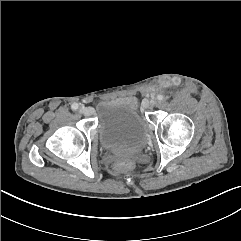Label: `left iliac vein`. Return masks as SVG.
Listing matches in <instances>:
<instances>
[{"label":"left iliac vein","mask_w":241,"mask_h":241,"mask_svg":"<svg viewBox=\"0 0 241 241\" xmlns=\"http://www.w3.org/2000/svg\"><path fill=\"white\" fill-rule=\"evenodd\" d=\"M157 104V101L156 99H151V100H148L144 103V107L145 108H152L154 107L155 105Z\"/></svg>","instance_id":"1"}]
</instances>
